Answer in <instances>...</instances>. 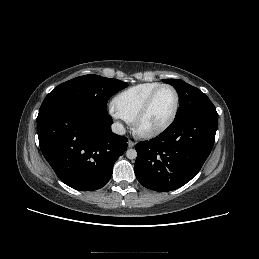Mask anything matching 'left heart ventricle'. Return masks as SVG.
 <instances>
[{
  "label": "left heart ventricle",
  "instance_id": "left-heart-ventricle-1",
  "mask_svg": "<svg viewBox=\"0 0 259 259\" xmlns=\"http://www.w3.org/2000/svg\"><path fill=\"white\" fill-rule=\"evenodd\" d=\"M175 105V95L169 88L161 89L155 96L152 106L143 120L141 127L154 129L163 124L171 115Z\"/></svg>",
  "mask_w": 259,
  "mask_h": 259
}]
</instances>
